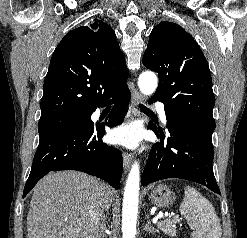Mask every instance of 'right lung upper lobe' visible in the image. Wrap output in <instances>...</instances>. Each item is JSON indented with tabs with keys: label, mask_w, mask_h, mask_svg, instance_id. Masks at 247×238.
Segmentation results:
<instances>
[{
	"label": "right lung upper lobe",
	"mask_w": 247,
	"mask_h": 238,
	"mask_svg": "<svg viewBox=\"0 0 247 238\" xmlns=\"http://www.w3.org/2000/svg\"><path fill=\"white\" fill-rule=\"evenodd\" d=\"M128 69L114 31L100 20L68 32L43 85L41 117L87 113L126 86Z\"/></svg>",
	"instance_id": "cb5924a9"
}]
</instances>
